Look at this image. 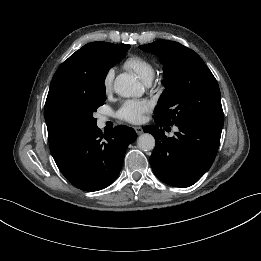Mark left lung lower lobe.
<instances>
[{"instance_id": "left-lung-lower-lobe-1", "label": "left lung lower lobe", "mask_w": 261, "mask_h": 261, "mask_svg": "<svg viewBox=\"0 0 261 261\" xmlns=\"http://www.w3.org/2000/svg\"><path fill=\"white\" fill-rule=\"evenodd\" d=\"M144 127L155 137L150 157L154 174L164 183L188 187L196 183L211 167L220 143L223 123L178 125L175 136L166 137L163 125Z\"/></svg>"}]
</instances>
